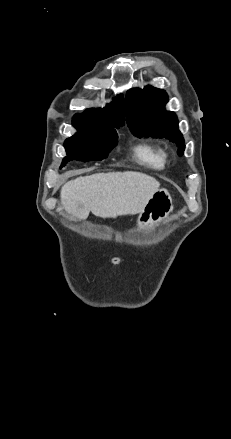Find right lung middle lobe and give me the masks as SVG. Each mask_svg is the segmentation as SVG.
Listing matches in <instances>:
<instances>
[{
	"label": "right lung middle lobe",
	"mask_w": 231,
	"mask_h": 439,
	"mask_svg": "<svg viewBox=\"0 0 231 439\" xmlns=\"http://www.w3.org/2000/svg\"><path fill=\"white\" fill-rule=\"evenodd\" d=\"M73 126L78 133L65 140L67 156L63 159L60 168L70 161L102 160L117 144V132L112 127H104L84 120H73Z\"/></svg>",
	"instance_id": "obj_1"
}]
</instances>
